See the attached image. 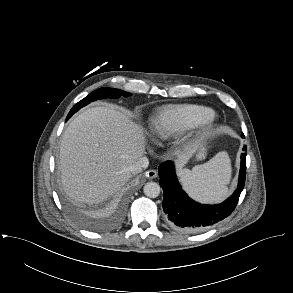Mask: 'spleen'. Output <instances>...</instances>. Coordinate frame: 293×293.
<instances>
[{
    "label": "spleen",
    "mask_w": 293,
    "mask_h": 293,
    "mask_svg": "<svg viewBox=\"0 0 293 293\" xmlns=\"http://www.w3.org/2000/svg\"><path fill=\"white\" fill-rule=\"evenodd\" d=\"M187 192L203 203L220 202L228 195L231 178L230 158L226 152L217 153L209 162L181 172Z\"/></svg>",
    "instance_id": "3e777b00"
}]
</instances>
